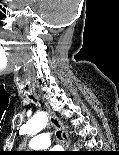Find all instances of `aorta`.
Wrapping results in <instances>:
<instances>
[{
  "instance_id": "aorta-1",
  "label": "aorta",
  "mask_w": 119,
  "mask_h": 155,
  "mask_svg": "<svg viewBox=\"0 0 119 155\" xmlns=\"http://www.w3.org/2000/svg\"><path fill=\"white\" fill-rule=\"evenodd\" d=\"M48 122L46 113H38L34 115L26 124L27 134L36 135L43 130Z\"/></svg>"
}]
</instances>
